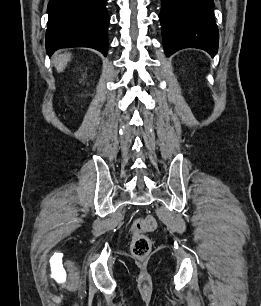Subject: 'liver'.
<instances>
[{"instance_id":"obj_1","label":"liver","mask_w":261,"mask_h":306,"mask_svg":"<svg viewBox=\"0 0 261 306\" xmlns=\"http://www.w3.org/2000/svg\"><path fill=\"white\" fill-rule=\"evenodd\" d=\"M71 59V53L57 54L53 58V64L57 72H62L66 68L68 62Z\"/></svg>"}]
</instances>
